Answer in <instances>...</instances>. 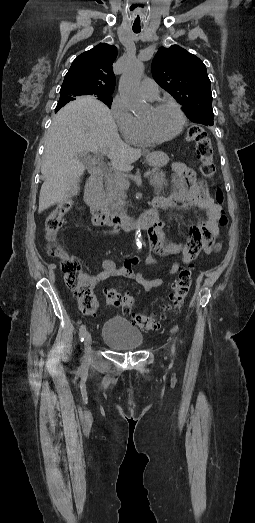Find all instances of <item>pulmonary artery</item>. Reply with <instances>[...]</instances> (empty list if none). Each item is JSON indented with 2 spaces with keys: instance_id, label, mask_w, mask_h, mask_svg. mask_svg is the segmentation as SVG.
I'll list each match as a JSON object with an SVG mask.
<instances>
[{
  "instance_id": "1",
  "label": "pulmonary artery",
  "mask_w": 255,
  "mask_h": 523,
  "mask_svg": "<svg viewBox=\"0 0 255 523\" xmlns=\"http://www.w3.org/2000/svg\"><path fill=\"white\" fill-rule=\"evenodd\" d=\"M141 92L143 96L147 99L154 100L159 95V88L155 83L154 78L149 77L147 80H144L141 84Z\"/></svg>"
}]
</instances>
